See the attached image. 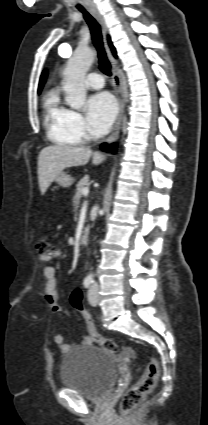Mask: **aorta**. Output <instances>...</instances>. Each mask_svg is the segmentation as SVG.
<instances>
[{"mask_svg":"<svg viewBox=\"0 0 208 425\" xmlns=\"http://www.w3.org/2000/svg\"><path fill=\"white\" fill-rule=\"evenodd\" d=\"M94 61V53L89 49H77L69 59L64 70L63 88L66 103L75 110H80L86 100L84 85L86 73ZM92 277V274H89Z\"/></svg>","mask_w":208,"mask_h":425,"instance_id":"aorta-1","label":"aorta"}]
</instances>
